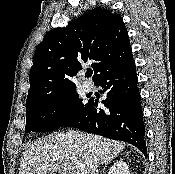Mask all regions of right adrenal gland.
<instances>
[{
  "label": "right adrenal gland",
  "mask_w": 175,
  "mask_h": 174,
  "mask_svg": "<svg viewBox=\"0 0 175 174\" xmlns=\"http://www.w3.org/2000/svg\"><path fill=\"white\" fill-rule=\"evenodd\" d=\"M110 162H111V160H109V161H107V162L105 163L104 169H105V167H107V165H108Z\"/></svg>",
  "instance_id": "obj_1"
}]
</instances>
